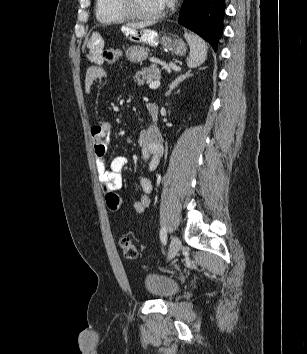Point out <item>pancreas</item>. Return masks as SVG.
I'll return each mask as SVG.
<instances>
[{"label":"pancreas","mask_w":307,"mask_h":354,"mask_svg":"<svg viewBox=\"0 0 307 354\" xmlns=\"http://www.w3.org/2000/svg\"><path fill=\"white\" fill-rule=\"evenodd\" d=\"M160 69L156 64H152L150 67L143 68L137 71L134 75V81L138 85H144L145 83L150 84L153 80L160 77Z\"/></svg>","instance_id":"cf45deb5"}]
</instances>
